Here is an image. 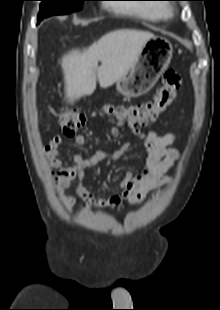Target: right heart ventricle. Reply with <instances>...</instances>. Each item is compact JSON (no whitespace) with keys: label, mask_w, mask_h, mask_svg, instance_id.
<instances>
[{"label":"right heart ventricle","mask_w":220,"mask_h":310,"mask_svg":"<svg viewBox=\"0 0 220 310\" xmlns=\"http://www.w3.org/2000/svg\"><path fill=\"white\" fill-rule=\"evenodd\" d=\"M120 10L123 12L133 13L152 22L162 21L169 15V8L166 5L157 3L140 4L133 7H122Z\"/></svg>","instance_id":"e07e8e85"}]
</instances>
